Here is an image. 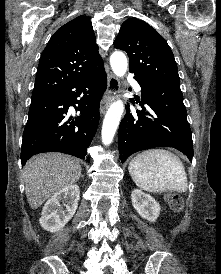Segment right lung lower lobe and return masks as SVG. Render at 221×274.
<instances>
[{
  "instance_id": "obj_1",
  "label": "right lung lower lobe",
  "mask_w": 221,
  "mask_h": 274,
  "mask_svg": "<svg viewBox=\"0 0 221 274\" xmlns=\"http://www.w3.org/2000/svg\"><path fill=\"white\" fill-rule=\"evenodd\" d=\"M106 88L103 68L55 92L32 98L23 133L22 165L43 152H62L89 161L87 148L97 131L99 102ZM70 106L80 112L77 118L68 114Z\"/></svg>"
}]
</instances>
